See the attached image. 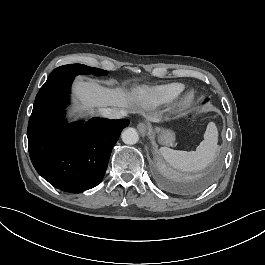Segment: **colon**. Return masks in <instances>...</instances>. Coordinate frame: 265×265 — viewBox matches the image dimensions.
I'll return each mask as SVG.
<instances>
[{"mask_svg": "<svg viewBox=\"0 0 265 265\" xmlns=\"http://www.w3.org/2000/svg\"><path fill=\"white\" fill-rule=\"evenodd\" d=\"M200 110V107L197 104H194L190 109H187L184 112V115L187 118H191L193 115H195Z\"/></svg>", "mask_w": 265, "mask_h": 265, "instance_id": "colon-1", "label": "colon"}]
</instances>
